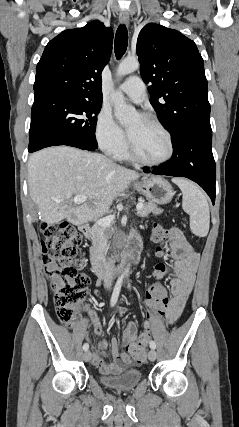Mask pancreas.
Segmentation results:
<instances>
[{"label":"pancreas","mask_w":239,"mask_h":427,"mask_svg":"<svg viewBox=\"0 0 239 427\" xmlns=\"http://www.w3.org/2000/svg\"><path fill=\"white\" fill-rule=\"evenodd\" d=\"M162 209L158 208L156 204L152 202L145 203L143 208L138 211L139 217H147L150 213L155 215L161 214ZM114 231L113 228H103L98 225L93 227L92 243L94 249L100 257H103L109 248L108 240L112 237Z\"/></svg>","instance_id":"obj_1"}]
</instances>
